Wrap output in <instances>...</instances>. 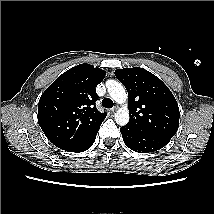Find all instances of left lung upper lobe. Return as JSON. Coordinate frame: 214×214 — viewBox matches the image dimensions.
Instances as JSON below:
<instances>
[{"label": "left lung upper lobe", "mask_w": 214, "mask_h": 214, "mask_svg": "<svg viewBox=\"0 0 214 214\" xmlns=\"http://www.w3.org/2000/svg\"><path fill=\"white\" fill-rule=\"evenodd\" d=\"M128 92L130 120L126 127L171 139L179 126V107L169 88L140 68L115 71Z\"/></svg>", "instance_id": "obj_1"}]
</instances>
